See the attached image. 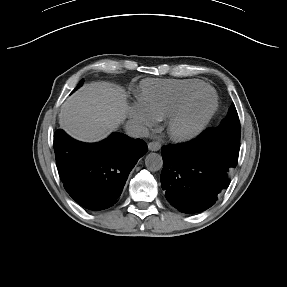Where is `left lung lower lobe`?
<instances>
[{
	"mask_svg": "<svg viewBox=\"0 0 287 287\" xmlns=\"http://www.w3.org/2000/svg\"><path fill=\"white\" fill-rule=\"evenodd\" d=\"M240 142L206 129L195 140L163 146L161 185L171 205L199 213L214 205L229 186L237 165Z\"/></svg>",
	"mask_w": 287,
	"mask_h": 287,
	"instance_id": "obj_1",
	"label": "left lung lower lobe"
}]
</instances>
